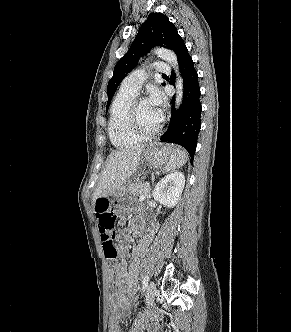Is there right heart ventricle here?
<instances>
[{"label": "right heart ventricle", "instance_id": "e07e8e85", "mask_svg": "<svg viewBox=\"0 0 291 332\" xmlns=\"http://www.w3.org/2000/svg\"><path fill=\"white\" fill-rule=\"evenodd\" d=\"M136 94L130 91L119 90L111 108L108 123V133L115 147H126L140 143L143 139L136 136L129 127V109Z\"/></svg>", "mask_w": 291, "mask_h": 332}]
</instances>
